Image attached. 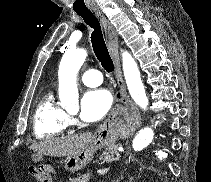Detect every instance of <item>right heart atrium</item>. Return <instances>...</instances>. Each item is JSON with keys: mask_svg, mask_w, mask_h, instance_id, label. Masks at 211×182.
<instances>
[{"mask_svg": "<svg viewBox=\"0 0 211 182\" xmlns=\"http://www.w3.org/2000/svg\"><path fill=\"white\" fill-rule=\"evenodd\" d=\"M69 123H74L75 119L73 117H68Z\"/></svg>", "mask_w": 211, "mask_h": 182, "instance_id": "d8ad5b80", "label": "right heart atrium"}]
</instances>
